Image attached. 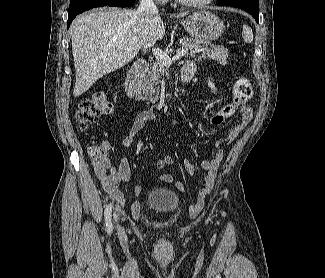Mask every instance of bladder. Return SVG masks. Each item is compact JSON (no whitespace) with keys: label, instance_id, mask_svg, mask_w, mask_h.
I'll return each instance as SVG.
<instances>
[{"label":"bladder","instance_id":"bladder-1","mask_svg":"<svg viewBox=\"0 0 325 278\" xmlns=\"http://www.w3.org/2000/svg\"><path fill=\"white\" fill-rule=\"evenodd\" d=\"M147 206L160 214H171L179 205L178 195L165 187H156L147 194Z\"/></svg>","mask_w":325,"mask_h":278}]
</instances>
